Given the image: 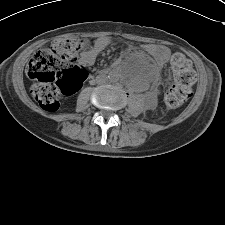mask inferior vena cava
<instances>
[{"label":"inferior vena cava","instance_id":"inferior-vena-cava-1","mask_svg":"<svg viewBox=\"0 0 225 225\" xmlns=\"http://www.w3.org/2000/svg\"><path fill=\"white\" fill-rule=\"evenodd\" d=\"M105 81H106V79L105 78H102V77H99L97 79V83H104Z\"/></svg>","mask_w":225,"mask_h":225}]
</instances>
